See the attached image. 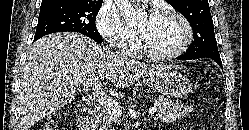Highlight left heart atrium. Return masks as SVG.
<instances>
[{
  "instance_id": "left-heart-atrium-1",
  "label": "left heart atrium",
  "mask_w": 249,
  "mask_h": 130,
  "mask_svg": "<svg viewBox=\"0 0 249 130\" xmlns=\"http://www.w3.org/2000/svg\"><path fill=\"white\" fill-rule=\"evenodd\" d=\"M157 16V14H151L148 18L149 22H151L152 20H154V18Z\"/></svg>"
}]
</instances>
